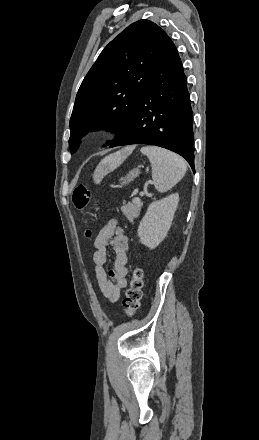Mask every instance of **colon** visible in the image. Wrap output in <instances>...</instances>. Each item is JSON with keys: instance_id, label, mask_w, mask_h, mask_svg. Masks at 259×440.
I'll list each match as a JSON object with an SVG mask.
<instances>
[{"instance_id": "colon-1", "label": "colon", "mask_w": 259, "mask_h": 440, "mask_svg": "<svg viewBox=\"0 0 259 440\" xmlns=\"http://www.w3.org/2000/svg\"><path fill=\"white\" fill-rule=\"evenodd\" d=\"M72 203L74 207L84 214L91 200V192L84 184H78L74 187L71 195ZM85 235L90 237L92 232L90 229H85ZM142 287H143V272L140 268H136L132 272L129 288L126 291L125 298L123 299V306L125 313L128 316L134 315V313L140 307L142 299Z\"/></svg>"}]
</instances>
